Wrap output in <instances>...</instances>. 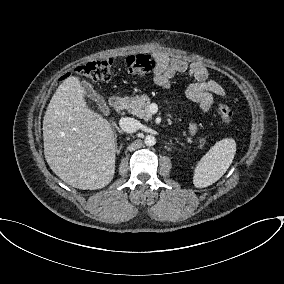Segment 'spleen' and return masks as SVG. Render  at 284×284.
<instances>
[{"instance_id":"3e777b00","label":"spleen","mask_w":284,"mask_h":284,"mask_svg":"<svg viewBox=\"0 0 284 284\" xmlns=\"http://www.w3.org/2000/svg\"><path fill=\"white\" fill-rule=\"evenodd\" d=\"M236 152V143L231 138L222 139L197 163L193 184L197 188L207 187L218 181L231 165Z\"/></svg>"}]
</instances>
